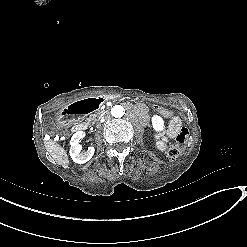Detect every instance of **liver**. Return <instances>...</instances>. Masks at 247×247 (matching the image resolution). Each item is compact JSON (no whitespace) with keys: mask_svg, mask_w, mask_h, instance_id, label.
Masks as SVG:
<instances>
[{"mask_svg":"<svg viewBox=\"0 0 247 247\" xmlns=\"http://www.w3.org/2000/svg\"><path fill=\"white\" fill-rule=\"evenodd\" d=\"M44 146L46 151L49 153L52 161H54L58 165L63 166L64 168L68 167L69 159L67 152L63 147L52 140L44 141Z\"/></svg>","mask_w":247,"mask_h":247,"instance_id":"liver-1","label":"liver"}]
</instances>
